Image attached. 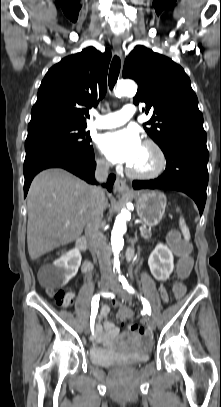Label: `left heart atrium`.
Listing matches in <instances>:
<instances>
[{
    "instance_id": "1",
    "label": "left heart atrium",
    "mask_w": 221,
    "mask_h": 407,
    "mask_svg": "<svg viewBox=\"0 0 221 407\" xmlns=\"http://www.w3.org/2000/svg\"><path fill=\"white\" fill-rule=\"evenodd\" d=\"M99 147L112 162L130 165L138 156L142 143L134 130H120L101 136Z\"/></svg>"
}]
</instances>
